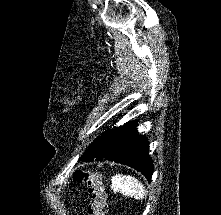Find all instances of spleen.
<instances>
[{
	"label": "spleen",
	"instance_id": "1",
	"mask_svg": "<svg viewBox=\"0 0 221 215\" xmlns=\"http://www.w3.org/2000/svg\"><path fill=\"white\" fill-rule=\"evenodd\" d=\"M111 188L120 191L122 194L142 199L147 195L146 189L136 178L129 175L116 174L111 179Z\"/></svg>",
	"mask_w": 221,
	"mask_h": 215
}]
</instances>
